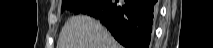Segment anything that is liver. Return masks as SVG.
Segmentation results:
<instances>
[{
    "mask_svg": "<svg viewBox=\"0 0 213 48\" xmlns=\"http://www.w3.org/2000/svg\"><path fill=\"white\" fill-rule=\"evenodd\" d=\"M57 48H122L102 24L89 16L77 15L64 24Z\"/></svg>",
    "mask_w": 213,
    "mask_h": 48,
    "instance_id": "liver-1",
    "label": "liver"
}]
</instances>
